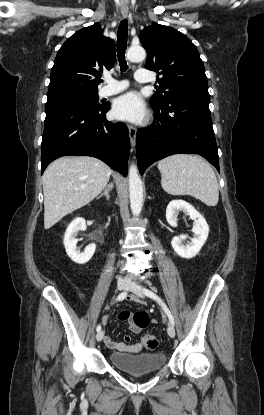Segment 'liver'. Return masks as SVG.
<instances>
[{
  "label": "liver",
  "mask_w": 264,
  "mask_h": 415,
  "mask_svg": "<svg viewBox=\"0 0 264 415\" xmlns=\"http://www.w3.org/2000/svg\"><path fill=\"white\" fill-rule=\"evenodd\" d=\"M110 168L89 157H62L45 170L44 228L49 229L64 216L90 203L107 185Z\"/></svg>",
  "instance_id": "6515ba94"
}]
</instances>
